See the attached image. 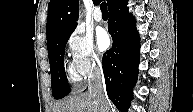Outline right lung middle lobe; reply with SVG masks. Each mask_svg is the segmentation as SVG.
Segmentation results:
<instances>
[{
	"label": "right lung middle lobe",
	"instance_id": "dd1d6c3e",
	"mask_svg": "<svg viewBox=\"0 0 193 112\" xmlns=\"http://www.w3.org/2000/svg\"><path fill=\"white\" fill-rule=\"evenodd\" d=\"M75 28L60 33L48 45L52 95L55 99L63 98L71 91L64 69V53L66 43Z\"/></svg>",
	"mask_w": 193,
	"mask_h": 112
}]
</instances>
